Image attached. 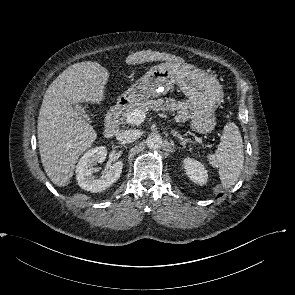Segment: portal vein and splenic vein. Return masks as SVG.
Masks as SVG:
<instances>
[{
	"label": "portal vein and splenic vein",
	"instance_id": "obj_1",
	"mask_svg": "<svg viewBox=\"0 0 295 295\" xmlns=\"http://www.w3.org/2000/svg\"><path fill=\"white\" fill-rule=\"evenodd\" d=\"M145 118H146L145 112L141 110H135L126 118V122L129 124L139 125L145 120Z\"/></svg>",
	"mask_w": 295,
	"mask_h": 295
}]
</instances>
